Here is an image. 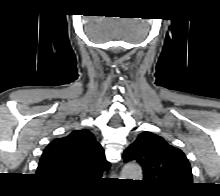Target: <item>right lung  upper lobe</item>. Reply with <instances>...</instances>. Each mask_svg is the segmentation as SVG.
<instances>
[{
	"label": "right lung upper lobe",
	"mask_w": 220,
	"mask_h": 196,
	"mask_svg": "<svg viewBox=\"0 0 220 196\" xmlns=\"http://www.w3.org/2000/svg\"><path fill=\"white\" fill-rule=\"evenodd\" d=\"M110 168L94 135L85 129L53 140L44 150L37 175L55 185L78 186Z\"/></svg>",
	"instance_id": "obj_1"
}]
</instances>
